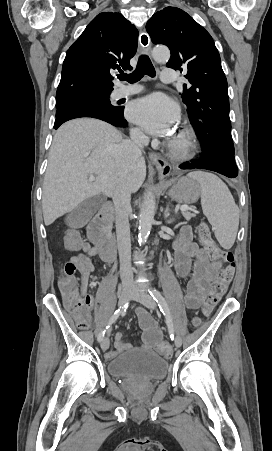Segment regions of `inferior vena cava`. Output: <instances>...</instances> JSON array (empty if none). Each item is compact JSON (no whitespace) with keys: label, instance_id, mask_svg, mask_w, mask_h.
<instances>
[{"label":"inferior vena cava","instance_id":"602c4592","mask_svg":"<svg viewBox=\"0 0 272 451\" xmlns=\"http://www.w3.org/2000/svg\"><path fill=\"white\" fill-rule=\"evenodd\" d=\"M132 142H122L117 146L114 156L117 172V180L112 196L115 206L116 233L120 259V277L123 285H134L133 271L131 267V241L128 214L131 210L130 192L127 186L128 170H131L134 162L141 158L142 148L148 146L149 138L140 130H132Z\"/></svg>","mask_w":272,"mask_h":451}]
</instances>
